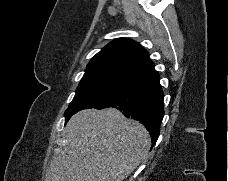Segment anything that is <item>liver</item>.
<instances>
[{
  "label": "liver",
  "instance_id": "1",
  "mask_svg": "<svg viewBox=\"0 0 228 181\" xmlns=\"http://www.w3.org/2000/svg\"><path fill=\"white\" fill-rule=\"evenodd\" d=\"M65 131L66 147L57 155L47 181H125L148 159V131L117 109L79 111Z\"/></svg>",
  "mask_w": 228,
  "mask_h": 181
}]
</instances>
